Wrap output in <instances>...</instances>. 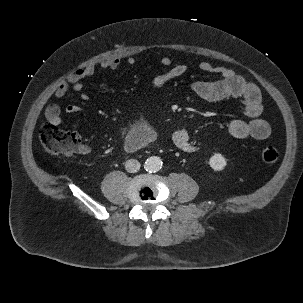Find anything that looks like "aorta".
Returning <instances> with one entry per match:
<instances>
[{
  "label": "aorta",
  "mask_w": 303,
  "mask_h": 303,
  "mask_svg": "<svg viewBox=\"0 0 303 303\" xmlns=\"http://www.w3.org/2000/svg\"><path fill=\"white\" fill-rule=\"evenodd\" d=\"M162 167V160L158 156H151L149 157L144 164V168L148 172H157Z\"/></svg>",
  "instance_id": "obj_1"
}]
</instances>
